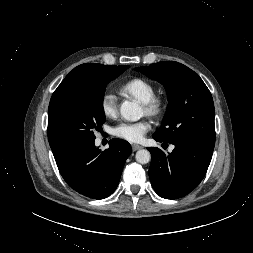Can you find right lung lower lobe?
I'll return each instance as SVG.
<instances>
[{
	"label": "right lung lower lobe",
	"instance_id": "1",
	"mask_svg": "<svg viewBox=\"0 0 253 253\" xmlns=\"http://www.w3.org/2000/svg\"><path fill=\"white\" fill-rule=\"evenodd\" d=\"M94 141L59 148L53 155L60 174L73 190L99 200L110 196L117 188L132 148L125 140L113 139L109 141V148L101 151Z\"/></svg>",
	"mask_w": 253,
	"mask_h": 253
}]
</instances>
